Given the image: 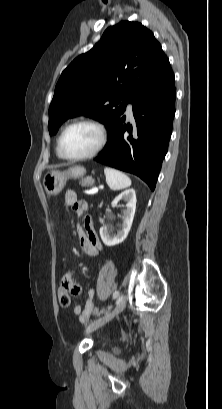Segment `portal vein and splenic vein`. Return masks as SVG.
<instances>
[{
  "mask_svg": "<svg viewBox=\"0 0 222 409\" xmlns=\"http://www.w3.org/2000/svg\"><path fill=\"white\" fill-rule=\"evenodd\" d=\"M98 192V188L94 187L92 189H90L89 191H86V194H95Z\"/></svg>",
  "mask_w": 222,
  "mask_h": 409,
  "instance_id": "obj_1",
  "label": "portal vein and splenic vein"
}]
</instances>
